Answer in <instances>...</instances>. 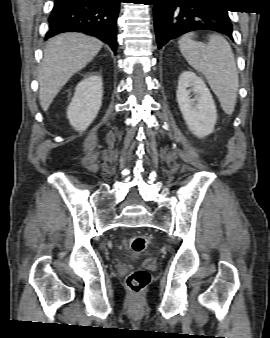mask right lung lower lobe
<instances>
[{"label":"right lung lower lobe","instance_id":"right-lung-lower-lobe-1","mask_svg":"<svg viewBox=\"0 0 270 338\" xmlns=\"http://www.w3.org/2000/svg\"><path fill=\"white\" fill-rule=\"evenodd\" d=\"M121 0H55L45 39L61 32H83L101 39L116 53V20Z\"/></svg>","mask_w":270,"mask_h":338}]
</instances>
